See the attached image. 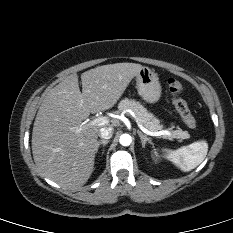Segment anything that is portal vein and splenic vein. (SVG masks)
<instances>
[{
    "mask_svg": "<svg viewBox=\"0 0 233 233\" xmlns=\"http://www.w3.org/2000/svg\"><path fill=\"white\" fill-rule=\"evenodd\" d=\"M108 123H109L108 117H98V118L90 121L87 125L88 126H94V125L103 126V125H106ZM136 123H137L138 127L140 128V130L149 136H156V137L168 136V137H171V133L167 130H162V131H150V130H148L139 122V120L137 118H136Z\"/></svg>",
    "mask_w": 233,
    "mask_h": 233,
    "instance_id": "18ae733b",
    "label": "portal vein and splenic vein"
}]
</instances>
